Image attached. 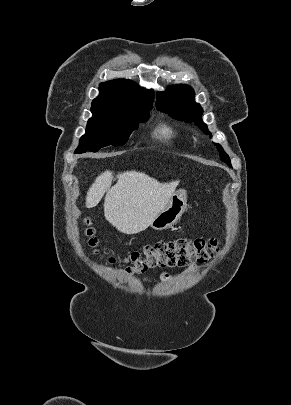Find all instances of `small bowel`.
<instances>
[{
	"instance_id": "c3829d8e",
	"label": "small bowel",
	"mask_w": 291,
	"mask_h": 405,
	"mask_svg": "<svg viewBox=\"0 0 291 405\" xmlns=\"http://www.w3.org/2000/svg\"><path fill=\"white\" fill-rule=\"evenodd\" d=\"M195 269H196V266L194 264H192L188 268H186L184 272L185 273H190V272L195 271ZM161 277H162L163 280H167L169 275L167 273H163Z\"/></svg>"
}]
</instances>
